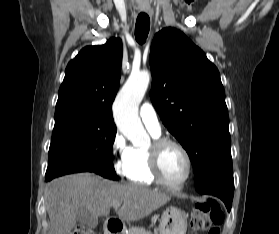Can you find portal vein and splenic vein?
<instances>
[{"label": "portal vein and splenic vein", "mask_w": 279, "mask_h": 234, "mask_svg": "<svg viewBox=\"0 0 279 234\" xmlns=\"http://www.w3.org/2000/svg\"><path fill=\"white\" fill-rule=\"evenodd\" d=\"M120 203H113V207L115 208V209H118L119 207H120Z\"/></svg>", "instance_id": "18ae733b"}]
</instances>
